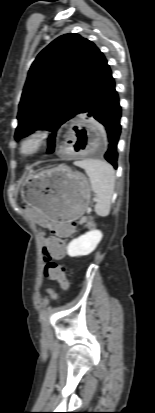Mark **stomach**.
<instances>
[{"label":"stomach","mask_w":155,"mask_h":413,"mask_svg":"<svg viewBox=\"0 0 155 413\" xmlns=\"http://www.w3.org/2000/svg\"><path fill=\"white\" fill-rule=\"evenodd\" d=\"M21 195L28 205L54 222H69L83 216L90 204L87 178L65 165L27 175Z\"/></svg>","instance_id":"stomach-1"}]
</instances>
